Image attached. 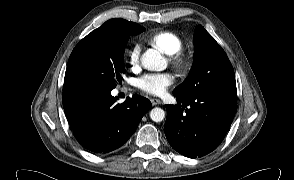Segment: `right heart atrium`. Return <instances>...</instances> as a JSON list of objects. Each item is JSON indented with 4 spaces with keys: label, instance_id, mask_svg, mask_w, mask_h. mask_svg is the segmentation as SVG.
Masks as SVG:
<instances>
[{
    "label": "right heart atrium",
    "instance_id": "1",
    "mask_svg": "<svg viewBox=\"0 0 294 180\" xmlns=\"http://www.w3.org/2000/svg\"><path fill=\"white\" fill-rule=\"evenodd\" d=\"M128 63L131 69H137L140 62V45L134 44L127 52Z\"/></svg>",
    "mask_w": 294,
    "mask_h": 180
}]
</instances>
